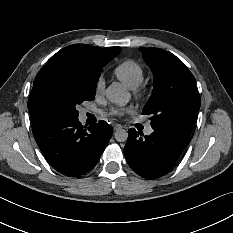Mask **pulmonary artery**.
<instances>
[{
    "instance_id": "1",
    "label": "pulmonary artery",
    "mask_w": 233,
    "mask_h": 233,
    "mask_svg": "<svg viewBox=\"0 0 233 233\" xmlns=\"http://www.w3.org/2000/svg\"><path fill=\"white\" fill-rule=\"evenodd\" d=\"M152 132H153V129H152V128H147V129L145 130V134H146V135H150V134H152Z\"/></svg>"
}]
</instances>
